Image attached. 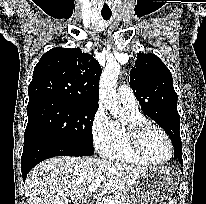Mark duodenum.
<instances>
[{
	"mask_svg": "<svg viewBox=\"0 0 206 204\" xmlns=\"http://www.w3.org/2000/svg\"><path fill=\"white\" fill-rule=\"evenodd\" d=\"M89 204H97V202L93 201V202H91V203H89Z\"/></svg>",
	"mask_w": 206,
	"mask_h": 204,
	"instance_id": "410a0bca",
	"label": "duodenum"
}]
</instances>
